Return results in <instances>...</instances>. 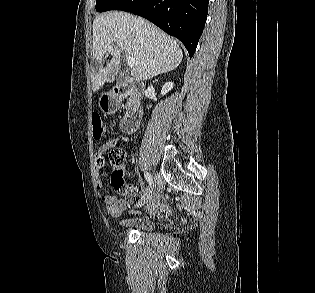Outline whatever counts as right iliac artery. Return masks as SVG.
I'll list each match as a JSON object with an SVG mask.
<instances>
[{
  "label": "right iliac artery",
  "mask_w": 315,
  "mask_h": 293,
  "mask_svg": "<svg viewBox=\"0 0 315 293\" xmlns=\"http://www.w3.org/2000/svg\"><path fill=\"white\" fill-rule=\"evenodd\" d=\"M145 178L147 180V182L149 183V185H151L152 183V176L148 173V172H145Z\"/></svg>",
  "instance_id": "obj_1"
}]
</instances>
